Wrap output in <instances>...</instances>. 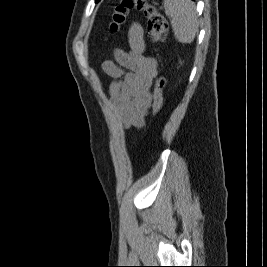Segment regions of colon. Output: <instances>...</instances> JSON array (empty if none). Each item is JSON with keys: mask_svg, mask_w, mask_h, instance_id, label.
<instances>
[{"mask_svg": "<svg viewBox=\"0 0 267 267\" xmlns=\"http://www.w3.org/2000/svg\"><path fill=\"white\" fill-rule=\"evenodd\" d=\"M133 9L142 11L147 19V32L154 42H162L166 39L169 24L164 15L158 10L155 4L148 0H119L114 7L111 30L117 31L119 27L126 21L129 12ZM165 79L158 77L155 81L152 106L155 115H158L163 107V89Z\"/></svg>", "mask_w": 267, "mask_h": 267, "instance_id": "colon-1", "label": "colon"}]
</instances>
